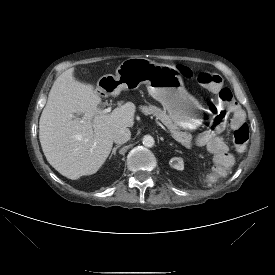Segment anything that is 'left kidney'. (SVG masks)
Here are the masks:
<instances>
[{"label":"left kidney","mask_w":275,"mask_h":275,"mask_svg":"<svg viewBox=\"0 0 275 275\" xmlns=\"http://www.w3.org/2000/svg\"><path fill=\"white\" fill-rule=\"evenodd\" d=\"M170 166L177 170H183L184 162H183L182 158H172L170 160Z\"/></svg>","instance_id":"obj_1"}]
</instances>
